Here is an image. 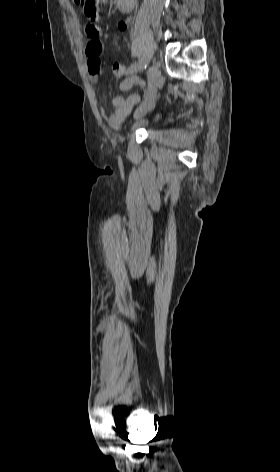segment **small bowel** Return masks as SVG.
<instances>
[{"label":"small bowel","instance_id":"obj_1","mask_svg":"<svg viewBox=\"0 0 280 472\" xmlns=\"http://www.w3.org/2000/svg\"><path fill=\"white\" fill-rule=\"evenodd\" d=\"M134 7V0H117L116 8L121 14L129 13ZM125 22L119 23V28L125 30ZM85 34L88 38L86 45L87 71L93 83H96L100 74V56L102 53V43L100 41L101 29L96 21L88 20L85 25ZM142 82L137 77L124 78L120 84L121 91H127L134 85H141ZM140 97L136 94L127 96H117L113 100L114 111L109 115V123L117 125L122 122L131 109L138 103Z\"/></svg>","mask_w":280,"mask_h":472}]
</instances>
